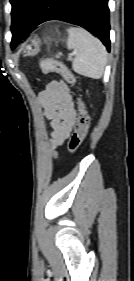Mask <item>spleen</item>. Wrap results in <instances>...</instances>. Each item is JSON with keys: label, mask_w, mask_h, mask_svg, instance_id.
<instances>
[{"label": "spleen", "mask_w": 134, "mask_h": 281, "mask_svg": "<svg viewBox=\"0 0 134 281\" xmlns=\"http://www.w3.org/2000/svg\"><path fill=\"white\" fill-rule=\"evenodd\" d=\"M67 48L73 49V70L85 77H102L107 61V52L101 41L82 28L70 27Z\"/></svg>", "instance_id": "obj_1"}]
</instances>
